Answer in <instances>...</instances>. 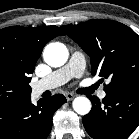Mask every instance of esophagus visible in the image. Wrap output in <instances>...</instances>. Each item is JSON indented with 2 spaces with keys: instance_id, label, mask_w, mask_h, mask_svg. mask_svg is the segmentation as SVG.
<instances>
[{
  "instance_id": "esophagus-1",
  "label": "esophagus",
  "mask_w": 139,
  "mask_h": 139,
  "mask_svg": "<svg viewBox=\"0 0 139 139\" xmlns=\"http://www.w3.org/2000/svg\"><path fill=\"white\" fill-rule=\"evenodd\" d=\"M66 99L68 100V101H70V100H72L74 97H75V95L73 94V93H66Z\"/></svg>"
}]
</instances>
